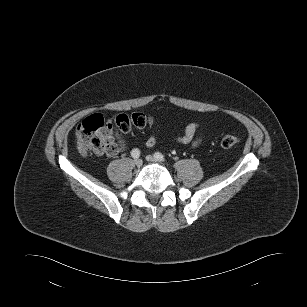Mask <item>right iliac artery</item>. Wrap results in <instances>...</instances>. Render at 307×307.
<instances>
[{"instance_id":"obj_1","label":"right iliac artery","mask_w":307,"mask_h":307,"mask_svg":"<svg viewBox=\"0 0 307 307\" xmlns=\"http://www.w3.org/2000/svg\"><path fill=\"white\" fill-rule=\"evenodd\" d=\"M131 156L134 158V159H137V158H139V156H140V151L136 148V149H133L132 151H131Z\"/></svg>"}]
</instances>
